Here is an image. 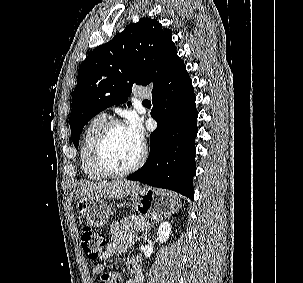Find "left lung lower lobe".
<instances>
[{"instance_id":"0a47b994","label":"left lung lower lobe","mask_w":303,"mask_h":283,"mask_svg":"<svg viewBox=\"0 0 303 283\" xmlns=\"http://www.w3.org/2000/svg\"><path fill=\"white\" fill-rule=\"evenodd\" d=\"M161 78L162 83L159 79L153 83L151 115L158 127L150 135L149 157L127 179L170 189L193 200L198 113L192 81L178 56Z\"/></svg>"}]
</instances>
